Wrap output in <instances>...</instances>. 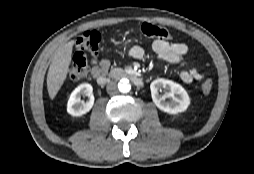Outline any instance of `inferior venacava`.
Returning a JSON list of instances; mask_svg holds the SVG:
<instances>
[{
	"mask_svg": "<svg viewBox=\"0 0 254 174\" xmlns=\"http://www.w3.org/2000/svg\"><path fill=\"white\" fill-rule=\"evenodd\" d=\"M106 89H107V93H108L109 95H115V94H117V92H118L117 84H116L115 82H110V83L107 85Z\"/></svg>",
	"mask_w": 254,
	"mask_h": 174,
	"instance_id": "obj_1",
	"label": "inferior vena cava"
}]
</instances>
